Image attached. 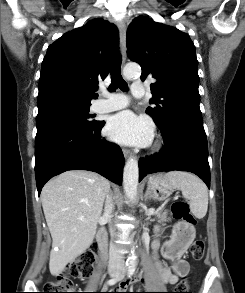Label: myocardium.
Here are the masks:
<instances>
[{
  "instance_id": "myocardium-1",
  "label": "myocardium",
  "mask_w": 245,
  "mask_h": 293,
  "mask_svg": "<svg viewBox=\"0 0 245 293\" xmlns=\"http://www.w3.org/2000/svg\"><path fill=\"white\" fill-rule=\"evenodd\" d=\"M155 147H159V144H156Z\"/></svg>"
}]
</instances>
